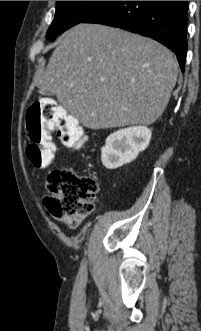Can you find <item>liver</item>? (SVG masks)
I'll list each match as a JSON object with an SVG mask.
<instances>
[{"label":"liver","instance_id":"1","mask_svg":"<svg viewBox=\"0 0 201 331\" xmlns=\"http://www.w3.org/2000/svg\"><path fill=\"white\" fill-rule=\"evenodd\" d=\"M178 76L174 54L137 34L80 23L62 36L38 86L91 129L150 125Z\"/></svg>","mask_w":201,"mask_h":331}]
</instances>
